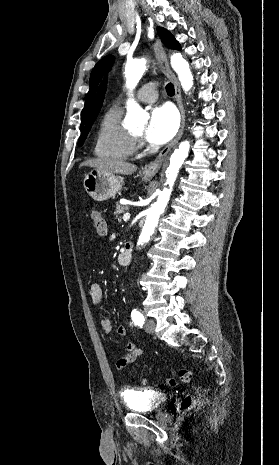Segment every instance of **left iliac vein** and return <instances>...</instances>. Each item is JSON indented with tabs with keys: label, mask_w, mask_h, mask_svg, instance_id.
Wrapping results in <instances>:
<instances>
[{
	"label": "left iliac vein",
	"mask_w": 279,
	"mask_h": 465,
	"mask_svg": "<svg viewBox=\"0 0 279 465\" xmlns=\"http://www.w3.org/2000/svg\"><path fill=\"white\" fill-rule=\"evenodd\" d=\"M156 328V323L154 320L149 319L145 322V330L146 332L153 334Z\"/></svg>",
	"instance_id": "4c4485c4"
}]
</instances>
